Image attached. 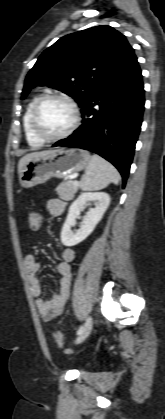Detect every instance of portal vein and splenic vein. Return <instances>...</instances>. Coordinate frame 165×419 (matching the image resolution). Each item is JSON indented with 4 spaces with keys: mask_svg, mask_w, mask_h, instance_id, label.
<instances>
[{
    "mask_svg": "<svg viewBox=\"0 0 165 419\" xmlns=\"http://www.w3.org/2000/svg\"><path fill=\"white\" fill-rule=\"evenodd\" d=\"M73 185L74 186H78L79 185V182L75 180V181H73Z\"/></svg>",
    "mask_w": 165,
    "mask_h": 419,
    "instance_id": "portal-vein-and-splenic-vein-1",
    "label": "portal vein and splenic vein"
}]
</instances>
